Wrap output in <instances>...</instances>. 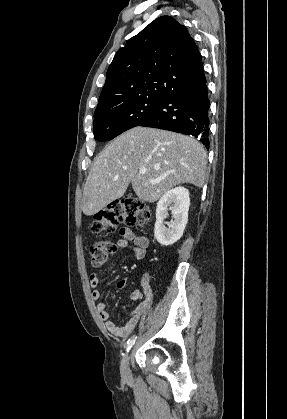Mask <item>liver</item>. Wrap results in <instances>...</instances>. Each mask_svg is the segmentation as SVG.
<instances>
[{
	"instance_id": "obj_1",
	"label": "liver",
	"mask_w": 287,
	"mask_h": 419,
	"mask_svg": "<svg viewBox=\"0 0 287 419\" xmlns=\"http://www.w3.org/2000/svg\"><path fill=\"white\" fill-rule=\"evenodd\" d=\"M206 159L203 145L190 136L132 128L112 140L95 158L84 186L82 211L87 216L96 214L121 198L130 183L145 202L157 201L182 183L202 187ZM140 169L146 173L140 174Z\"/></svg>"
}]
</instances>
